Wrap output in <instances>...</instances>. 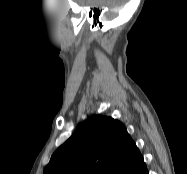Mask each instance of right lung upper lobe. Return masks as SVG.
I'll return each mask as SVG.
<instances>
[{"mask_svg": "<svg viewBox=\"0 0 187 174\" xmlns=\"http://www.w3.org/2000/svg\"><path fill=\"white\" fill-rule=\"evenodd\" d=\"M145 169L124 125L93 115L52 155L44 174H140Z\"/></svg>", "mask_w": 187, "mask_h": 174, "instance_id": "1", "label": "right lung upper lobe"}]
</instances>
